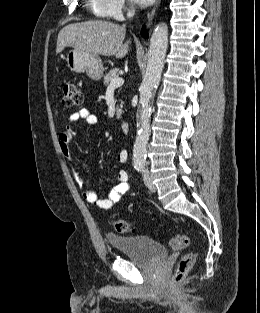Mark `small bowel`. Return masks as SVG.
<instances>
[{
    "label": "small bowel",
    "mask_w": 260,
    "mask_h": 313,
    "mask_svg": "<svg viewBox=\"0 0 260 313\" xmlns=\"http://www.w3.org/2000/svg\"><path fill=\"white\" fill-rule=\"evenodd\" d=\"M71 123H77L80 121L85 122L87 125H96L98 123L97 116L88 109H81L78 112L72 113L69 116ZM75 130L72 126H67L58 135V143L62 154L66 157L70 164H73L69 143L73 138ZM116 159L119 163L123 164L128 159V152L125 149L118 151ZM73 176L76 184L78 185L83 199L90 205L99 209H111L113 208L121 198L130 191L129 175L126 171L121 170L117 174V184L112 189L110 195L107 198L101 199L97 193L88 188L85 185L83 178L80 173L73 168Z\"/></svg>",
    "instance_id": "1"
}]
</instances>
